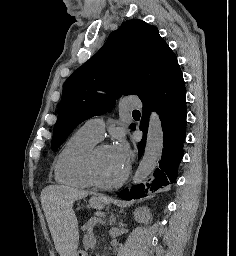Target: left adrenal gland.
<instances>
[{"mask_svg":"<svg viewBox=\"0 0 236 256\" xmlns=\"http://www.w3.org/2000/svg\"><path fill=\"white\" fill-rule=\"evenodd\" d=\"M111 218H112V220H110V224H115L116 218H114L113 214H112Z\"/></svg>","mask_w":236,"mask_h":256,"instance_id":"a2214340","label":"left adrenal gland"}]
</instances>
